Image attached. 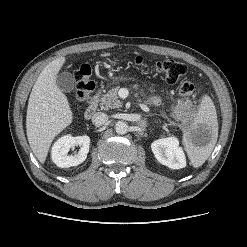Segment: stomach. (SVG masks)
<instances>
[{"instance_id":"0dacf381","label":"stomach","mask_w":247,"mask_h":247,"mask_svg":"<svg viewBox=\"0 0 247 247\" xmlns=\"http://www.w3.org/2000/svg\"><path fill=\"white\" fill-rule=\"evenodd\" d=\"M177 118L182 122L183 124V129L185 132H190L192 133L193 131H195L196 129L199 128L198 127H194V117L193 116H189V117H180L177 116Z\"/></svg>"}]
</instances>
